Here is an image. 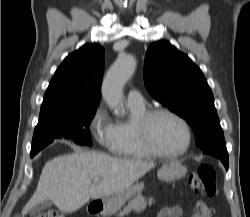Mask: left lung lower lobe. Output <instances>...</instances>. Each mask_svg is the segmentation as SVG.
I'll return each instance as SVG.
<instances>
[{"instance_id":"0a47b994","label":"left lung lower lobe","mask_w":250,"mask_h":217,"mask_svg":"<svg viewBox=\"0 0 250 217\" xmlns=\"http://www.w3.org/2000/svg\"><path fill=\"white\" fill-rule=\"evenodd\" d=\"M203 153L219 158L224 164L225 168L228 169V152L225 142L206 148L203 150Z\"/></svg>"}]
</instances>
